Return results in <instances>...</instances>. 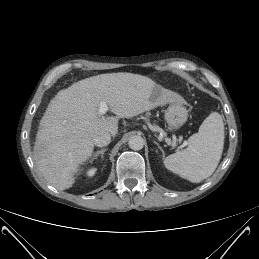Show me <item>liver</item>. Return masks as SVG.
<instances>
[{"mask_svg":"<svg viewBox=\"0 0 259 259\" xmlns=\"http://www.w3.org/2000/svg\"><path fill=\"white\" fill-rule=\"evenodd\" d=\"M150 78L109 73L80 80L50 101L34 145L38 170L57 190L70 188L79 166L93 153V139L103 132L115 136L119 118H130L167 103L184 104L179 94L158 88ZM104 101L116 116L98 114Z\"/></svg>","mask_w":259,"mask_h":259,"instance_id":"liver-1","label":"liver"}]
</instances>
